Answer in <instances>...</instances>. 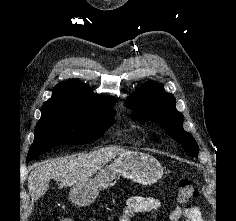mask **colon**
<instances>
[{
    "mask_svg": "<svg viewBox=\"0 0 236 221\" xmlns=\"http://www.w3.org/2000/svg\"><path fill=\"white\" fill-rule=\"evenodd\" d=\"M177 191L180 202H188L198 196L196 187L188 179H181L177 183ZM59 221H72V219L67 216H61Z\"/></svg>",
    "mask_w": 236,
    "mask_h": 221,
    "instance_id": "obj_1",
    "label": "colon"
}]
</instances>
